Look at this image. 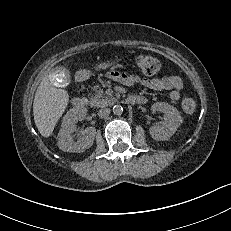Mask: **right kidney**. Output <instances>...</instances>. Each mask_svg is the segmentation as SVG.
Returning <instances> with one entry per match:
<instances>
[{"instance_id": "1", "label": "right kidney", "mask_w": 231, "mask_h": 231, "mask_svg": "<svg viewBox=\"0 0 231 231\" xmlns=\"http://www.w3.org/2000/svg\"><path fill=\"white\" fill-rule=\"evenodd\" d=\"M86 113L77 108L70 109L63 118L62 128L58 134V147L65 152H83L94 143L95 127H88L82 131V137L75 142L71 134L76 130V123L85 117Z\"/></svg>"}]
</instances>
